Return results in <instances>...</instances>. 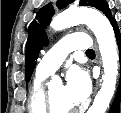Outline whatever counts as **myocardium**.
I'll return each instance as SVG.
<instances>
[{
    "instance_id": "f54148a6",
    "label": "myocardium",
    "mask_w": 121,
    "mask_h": 113,
    "mask_svg": "<svg viewBox=\"0 0 121 113\" xmlns=\"http://www.w3.org/2000/svg\"><path fill=\"white\" fill-rule=\"evenodd\" d=\"M45 101H46V108L49 113H61V112H58L55 108V105L53 103L52 96H51V89L46 91ZM73 110H74V108H72L66 112H62V113H72Z\"/></svg>"
}]
</instances>
